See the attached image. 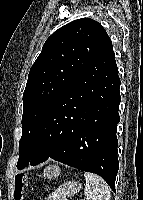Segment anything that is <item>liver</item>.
I'll return each instance as SVG.
<instances>
[{"label": "liver", "mask_w": 143, "mask_h": 200, "mask_svg": "<svg viewBox=\"0 0 143 200\" xmlns=\"http://www.w3.org/2000/svg\"><path fill=\"white\" fill-rule=\"evenodd\" d=\"M46 173H47V175H49V177H52V176L56 175L57 172H53L52 168L49 167L48 170L46 171Z\"/></svg>", "instance_id": "obj_1"}]
</instances>
